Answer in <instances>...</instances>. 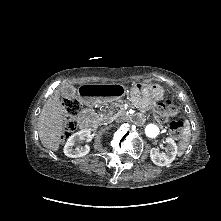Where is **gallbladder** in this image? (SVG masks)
<instances>
[{"label":"gallbladder","instance_id":"1","mask_svg":"<svg viewBox=\"0 0 221 221\" xmlns=\"http://www.w3.org/2000/svg\"><path fill=\"white\" fill-rule=\"evenodd\" d=\"M61 96L66 99H73L77 97L76 89L73 86H63L61 88Z\"/></svg>","mask_w":221,"mask_h":221}]
</instances>
